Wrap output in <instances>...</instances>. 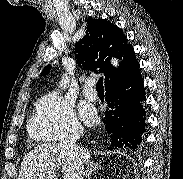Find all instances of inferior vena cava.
Instances as JSON below:
<instances>
[{"mask_svg":"<svg viewBox=\"0 0 183 179\" xmlns=\"http://www.w3.org/2000/svg\"><path fill=\"white\" fill-rule=\"evenodd\" d=\"M82 133L83 130L81 128L73 129L67 133L59 143L60 147L68 151L74 159L75 179H83L84 175L83 161L79 155L78 147L76 146V142Z\"/></svg>","mask_w":183,"mask_h":179,"instance_id":"1","label":"inferior vena cava"}]
</instances>
